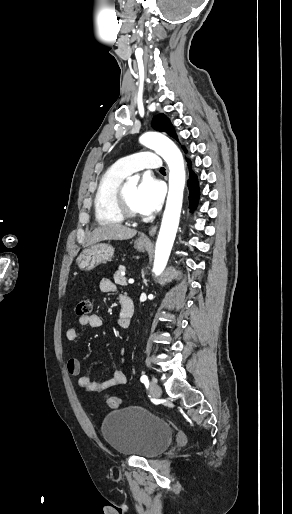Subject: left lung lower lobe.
I'll list each match as a JSON object with an SVG mask.
<instances>
[{
	"mask_svg": "<svg viewBox=\"0 0 292 514\" xmlns=\"http://www.w3.org/2000/svg\"><path fill=\"white\" fill-rule=\"evenodd\" d=\"M187 185L189 187V208L191 209V211H194L198 204L200 191L198 186V178L196 174L191 170Z\"/></svg>",
	"mask_w": 292,
	"mask_h": 514,
	"instance_id": "left-lung-lower-lobe-1",
	"label": "left lung lower lobe"
}]
</instances>
